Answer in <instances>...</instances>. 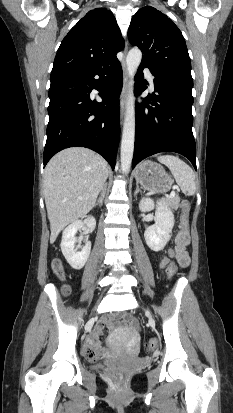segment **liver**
I'll list each match as a JSON object with an SVG mask.
<instances>
[{"label": "liver", "instance_id": "1", "mask_svg": "<svg viewBox=\"0 0 233 413\" xmlns=\"http://www.w3.org/2000/svg\"><path fill=\"white\" fill-rule=\"evenodd\" d=\"M107 174L104 158L83 147L62 150L48 162L43 193L51 244L65 226L84 217L94 207Z\"/></svg>", "mask_w": 233, "mask_h": 413}]
</instances>
